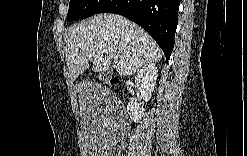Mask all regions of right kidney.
I'll return each instance as SVG.
<instances>
[{
  "mask_svg": "<svg viewBox=\"0 0 247 156\" xmlns=\"http://www.w3.org/2000/svg\"><path fill=\"white\" fill-rule=\"evenodd\" d=\"M157 77L158 69L153 63L144 65L135 76V86L145 102L151 99ZM127 111L131 120L138 123L142 119L145 109L137 101L131 100L128 103Z\"/></svg>",
  "mask_w": 247,
  "mask_h": 156,
  "instance_id": "1",
  "label": "right kidney"
}]
</instances>
